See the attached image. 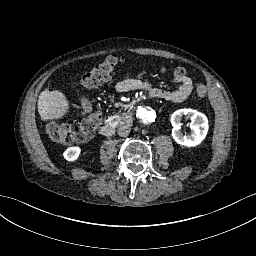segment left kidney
<instances>
[{
	"label": "left kidney",
	"instance_id": "1",
	"mask_svg": "<svg viewBox=\"0 0 256 256\" xmlns=\"http://www.w3.org/2000/svg\"><path fill=\"white\" fill-rule=\"evenodd\" d=\"M183 116L191 120V132L184 135L181 131V119ZM172 137L180 145L192 147L200 144L206 137L208 132L207 117L193 109H179L171 115Z\"/></svg>",
	"mask_w": 256,
	"mask_h": 256
}]
</instances>
